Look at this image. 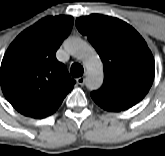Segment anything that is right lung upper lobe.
Segmentation results:
<instances>
[{
	"label": "right lung upper lobe",
	"instance_id": "obj_1",
	"mask_svg": "<svg viewBox=\"0 0 165 156\" xmlns=\"http://www.w3.org/2000/svg\"><path fill=\"white\" fill-rule=\"evenodd\" d=\"M73 22L68 15L45 17L19 34L7 49L0 69L1 88L21 114L45 118L72 90L75 80L55 53Z\"/></svg>",
	"mask_w": 165,
	"mask_h": 156
}]
</instances>
